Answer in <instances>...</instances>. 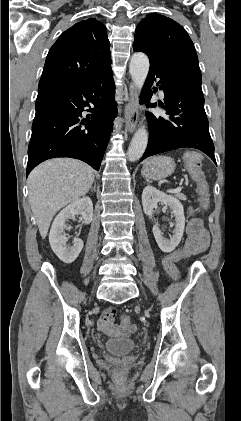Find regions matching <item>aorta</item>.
Instances as JSON below:
<instances>
[{"mask_svg": "<svg viewBox=\"0 0 241 421\" xmlns=\"http://www.w3.org/2000/svg\"><path fill=\"white\" fill-rule=\"evenodd\" d=\"M149 59L146 54L142 52L134 53L129 64V72L133 83L141 91L149 71ZM148 144V133L145 126H141L134 134L129 148V160L134 162L140 159Z\"/></svg>", "mask_w": 241, "mask_h": 421, "instance_id": "aorta-1", "label": "aorta"}]
</instances>
